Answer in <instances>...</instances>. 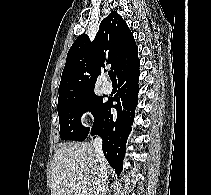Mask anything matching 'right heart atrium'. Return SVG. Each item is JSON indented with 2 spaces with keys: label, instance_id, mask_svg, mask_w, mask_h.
I'll use <instances>...</instances> for the list:
<instances>
[{
  "label": "right heart atrium",
  "instance_id": "d8ad5b80",
  "mask_svg": "<svg viewBox=\"0 0 211 195\" xmlns=\"http://www.w3.org/2000/svg\"><path fill=\"white\" fill-rule=\"evenodd\" d=\"M79 119H80L81 124L84 126H89L92 123V117L90 113L86 110L80 113Z\"/></svg>",
  "mask_w": 211,
  "mask_h": 195
}]
</instances>
